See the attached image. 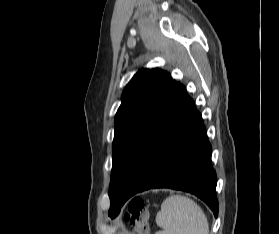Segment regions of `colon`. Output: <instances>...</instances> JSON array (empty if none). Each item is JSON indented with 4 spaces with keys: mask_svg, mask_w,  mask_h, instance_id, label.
<instances>
[{
    "mask_svg": "<svg viewBox=\"0 0 279 234\" xmlns=\"http://www.w3.org/2000/svg\"><path fill=\"white\" fill-rule=\"evenodd\" d=\"M148 207L141 197H133L124 215L134 234H148Z\"/></svg>",
    "mask_w": 279,
    "mask_h": 234,
    "instance_id": "colon-1",
    "label": "colon"
}]
</instances>
